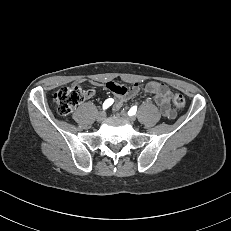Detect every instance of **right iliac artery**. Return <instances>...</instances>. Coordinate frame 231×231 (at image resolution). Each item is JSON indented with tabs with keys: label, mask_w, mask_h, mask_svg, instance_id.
<instances>
[{
	"label": "right iliac artery",
	"mask_w": 231,
	"mask_h": 231,
	"mask_svg": "<svg viewBox=\"0 0 231 231\" xmlns=\"http://www.w3.org/2000/svg\"><path fill=\"white\" fill-rule=\"evenodd\" d=\"M114 100L112 98L107 99L103 104V110H106L109 106L113 104Z\"/></svg>",
	"instance_id": "82829eb1"
}]
</instances>
